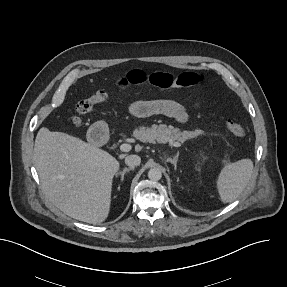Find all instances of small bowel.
Instances as JSON below:
<instances>
[{"mask_svg":"<svg viewBox=\"0 0 287 287\" xmlns=\"http://www.w3.org/2000/svg\"><path fill=\"white\" fill-rule=\"evenodd\" d=\"M129 111L132 115L137 117L163 114L174 119L178 123H185L188 118V114L182 104L165 99L136 101L130 105Z\"/></svg>","mask_w":287,"mask_h":287,"instance_id":"1","label":"small bowel"}]
</instances>
